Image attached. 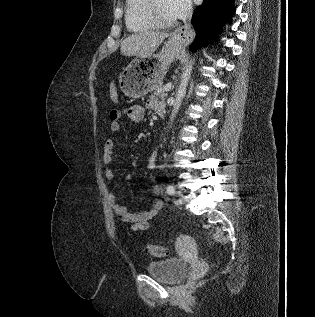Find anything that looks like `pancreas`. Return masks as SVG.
Listing matches in <instances>:
<instances>
[{"mask_svg": "<svg viewBox=\"0 0 315 317\" xmlns=\"http://www.w3.org/2000/svg\"><path fill=\"white\" fill-rule=\"evenodd\" d=\"M167 96V93L164 91V86L160 84L154 89L153 94L151 95L152 99L162 98L164 99Z\"/></svg>", "mask_w": 315, "mask_h": 317, "instance_id": "obj_1", "label": "pancreas"}]
</instances>
